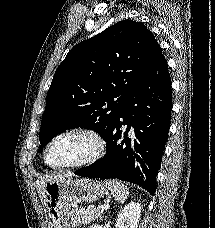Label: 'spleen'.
<instances>
[{"mask_svg":"<svg viewBox=\"0 0 215 228\" xmlns=\"http://www.w3.org/2000/svg\"><path fill=\"white\" fill-rule=\"evenodd\" d=\"M104 184H106V188L110 190L113 198L120 202V204H124L128 198L129 190L127 186H124L122 182H118V180H105Z\"/></svg>","mask_w":215,"mask_h":228,"instance_id":"1","label":"spleen"}]
</instances>
